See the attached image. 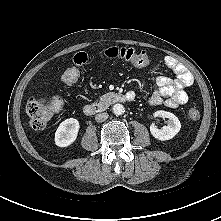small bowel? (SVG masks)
<instances>
[{
    "mask_svg": "<svg viewBox=\"0 0 221 221\" xmlns=\"http://www.w3.org/2000/svg\"><path fill=\"white\" fill-rule=\"evenodd\" d=\"M165 65L173 72L174 78L160 76L156 80V90L149 97L151 104L164 103L168 107H178L187 103L186 88L193 83L191 73L175 58L167 56Z\"/></svg>",
    "mask_w": 221,
    "mask_h": 221,
    "instance_id": "obj_1",
    "label": "small bowel"
}]
</instances>
